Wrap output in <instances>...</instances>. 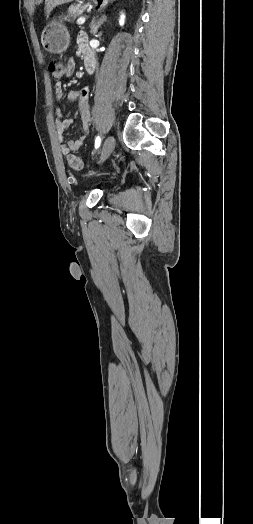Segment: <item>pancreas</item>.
<instances>
[{"label": "pancreas", "instance_id": "pancreas-1", "mask_svg": "<svg viewBox=\"0 0 253 524\" xmlns=\"http://www.w3.org/2000/svg\"><path fill=\"white\" fill-rule=\"evenodd\" d=\"M86 9H87V5L74 4L69 7L68 15L72 18H75L81 15Z\"/></svg>", "mask_w": 253, "mask_h": 524}]
</instances>
